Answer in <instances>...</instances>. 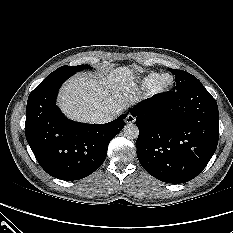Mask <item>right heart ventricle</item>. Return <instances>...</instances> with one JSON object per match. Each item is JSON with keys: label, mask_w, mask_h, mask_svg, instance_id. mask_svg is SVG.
Segmentation results:
<instances>
[{"label": "right heart ventricle", "mask_w": 233, "mask_h": 233, "mask_svg": "<svg viewBox=\"0 0 233 233\" xmlns=\"http://www.w3.org/2000/svg\"><path fill=\"white\" fill-rule=\"evenodd\" d=\"M159 76L160 73L158 72H151L145 75L140 81L141 88L146 91L151 90L152 86Z\"/></svg>", "instance_id": "right-heart-ventricle-1"}]
</instances>
